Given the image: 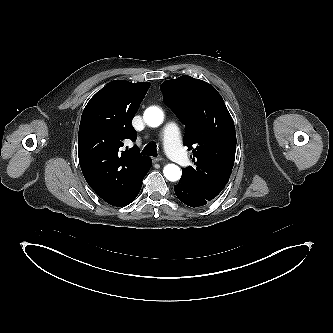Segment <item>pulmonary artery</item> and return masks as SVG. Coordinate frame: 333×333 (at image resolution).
<instances>
[{"label":"pulmonary artery","mask_w":333,"mask_h":333,"mask_svg":"<svg viewBox=\"0 0 333 333\" xmlns=\"http://www.w3.org/2000/svg\"><path fill=\"white\" fill-rule=\"evenodd\" d=\"M164 147L169 156L181 165H187L189 159L183 151L179 127L174 122L165 125L162 131Z\"/></svg>","instance_id":"obj_1"}]
</instances>
